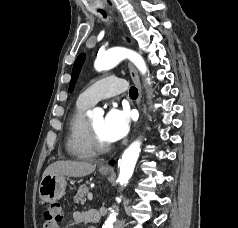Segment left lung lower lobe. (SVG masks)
Wrapping results in <instances>:
<instances>
[{
    "label": "left lung lower lobe",
    "instance_id": "0a47b994",
    "mask_svg": "<svg viewBox=\"0 0 238 228\" xmlns=\"http://www.w3.org/2000/svg\"><path fill=\"white\" fill-rule=\"evenodd\" d=\"M115 162L114 161H111L110 164L113 165Z\"/></svg>",
    "mask_w": 238,
    "mask_h": 228
}]
</instances>
